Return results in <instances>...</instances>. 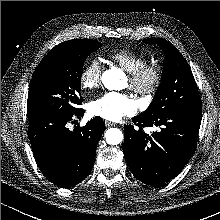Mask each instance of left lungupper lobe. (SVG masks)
I'll return each instance as SVG.
<instances>
[{
	"label": "left lung upper lobe",
	"mask_w": 220,
	"mask_h": 220,
	"mask_svg": "<svg viewBox=\"0 0 220 220\" xmlns=\"http://www.w3.org/2000/svg\"><path fill=\"white\" fill-rule=\"evenodd\" d=\"M164 51L161 83L145 116H156L173 109H201V99L194 76L182 54L167 40L150 38Z\"/></svg>",
	"instance_id": "obj_1"
}]
</instances>
